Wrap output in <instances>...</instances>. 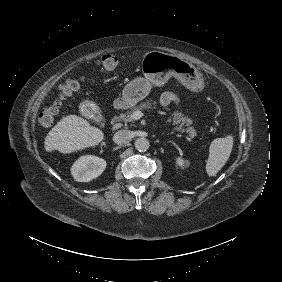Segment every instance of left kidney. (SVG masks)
<instances>
[{"label":"left kidney","mask_w":282,"mask_h":282,"mask_svg":"<svg viewBox=\"0 0 282 282\" xmlns=\"http://www.w3.org/2000/svg\"><path fill=\"white\" fill-rule=\"evenodd\" d=\"M176 163L178 166H180L182 169L189 167L190 162L188 160L183 159L182 157H178L176 159Z\"/></svg>","instance_id":"left-kidney-1"}]
</instances>
